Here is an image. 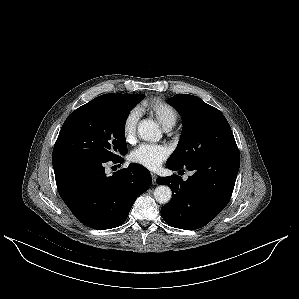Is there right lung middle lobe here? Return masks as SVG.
<instances>
[{
  "mask_svg": "<svg viewBox=\"0 0 299 299\" xmlns=\"http://www.w3.org/2000/svg\"><path fill=\"white\" fill-rule=\"evenodd\" d=\"M143 94H105L72 112L65 120L54 150L70 149L111 161L127 153L124 128Z\"/></svg>",
  "mask_w": 299,
  "mask_h": 299,
  "instance_id": "right-lung-middle-lobe-1",
  "label": "right lung middle lobe"
}]
</instances>
